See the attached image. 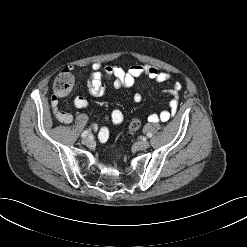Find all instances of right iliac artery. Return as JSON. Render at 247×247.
<instances>
[{
	"mask_svg": "<svg viewBox=\"0 0 247 247\" xmlns=\"http://www.w3.org/2000/svg\"><path fill=\"white\" fill-rule=\"evenodd\" d=\"M90 130H85L82 134L81 137L85 138L89 134Z\"/></svg>",
	"mask_w": 247,
	"mask_h": 247,
	"instance_id": "obj_1",
	"label": "right iliac artery"
}]
</instances>
